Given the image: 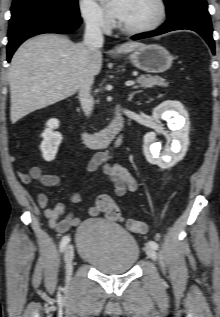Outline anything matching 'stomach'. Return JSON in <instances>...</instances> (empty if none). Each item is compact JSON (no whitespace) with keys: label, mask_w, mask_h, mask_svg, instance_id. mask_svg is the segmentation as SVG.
Wrapping results in <instances>:
<instances>
[{"label":"stomach","mask_w":220,"mask_h":317,"mask_svg":"<svg viewBox=\"0 0 220 317\" xmlns=\"http://www.w3.org/2000/svg\"><path fill=\"white\" fill-rule=\"evenodd\" d=\"M129 60L135 67L145 72L162 73L171 67L173 57L164 47L150 44L135 49Z\"/></svg>","instance_id":"stomach-1"}]
</instances>
